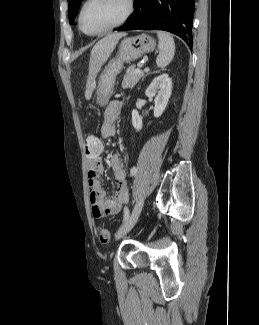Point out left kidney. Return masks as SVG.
<instances>
[{
  "label": "left kidney",
  "instance_id": "obj_1",
  "mask_svg": "<svg viewBox=\"0 0 259 325\" xmlns=\"http://www.w3.org/2000/svg\"><path fill=\"white\" fill-rule=\"evenodd\" d=\"M172 93V81L168 74H162L156 77L146 89V96L149 98L154 97V117H160L168 104L169 98ZM132 125L139 131L142 129V117L137 110L132 111Z\"/></svg>",
  "mask_w": 259,
  "mask_h": 325
}]
</instances>
